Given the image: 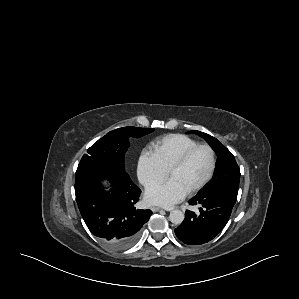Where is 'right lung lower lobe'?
Segmentation results:
<instances>
[{"label":"right lung lower lobe","instance_id":"1","mask_svg":"<svg viewBox=\"0 0 299 299\" xmlns=\"http://www.w3.org/2000/svg\"><path fill=\"white\" fill-rule=\"evenodd\" d=\"M111 184L105 191L102 181ZM141 190L129 176L98 162L79 165L75 194L80 213L92 234L109 248L124 250L137 240L152 212L135 207Z\"/></svg>","mask_w":299,"mask_h":299}]
</instances>
